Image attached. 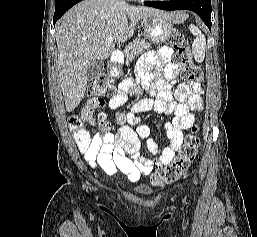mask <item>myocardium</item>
<instances>
[{
  "mask_svg": "<svg viewBox=\"0 0 257 237\" xmlns=\"http://www.w3.org/2000/svg\"><path fill=\"white\" fill-rule=\"evenodd\" d=\"M151 1H161V2H163V1H169V0H151Z\"/></svg>",
  "mask_w": 257,
  "mask_h": 237,
  "instance_id": "obj_1",
  "label": "myocardium"
}]
</instances>
